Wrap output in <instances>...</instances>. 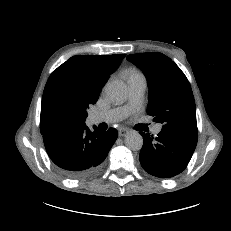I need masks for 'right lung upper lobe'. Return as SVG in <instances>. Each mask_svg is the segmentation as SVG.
<instances>
[{
	"label": "right lung upper lobe",
	"mask_w": 231,
	"mask_h": 231,
	"mask_svg": "<svg viewBox=\"0 0 231 231\" xmlns=\"http://www.w3.org/2000/svg\"><path fill=\"white\" fill-rule=\"evenodd\" d=\"M124 57L125 54L76 55L60 65L55 72L67 73L83 93L90 97H99L101 88Z\"/></svg>",
	"instance_id": "right-lung-upper-lobe-1"
}]
</instances>
